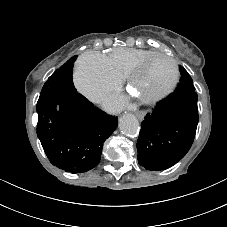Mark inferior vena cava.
<instances>
[{"label":"inferior vena cava","mask_w":227,"mask_h":227,"mask_svg":"<svg viewBox=\"0 0 227 227\" xmlns=\"http://www.w3.org/2000/svg\"><path fill=\"white\" fill-rule=\"evenodd\" d=\"M101 98H102L101 94H95V95H93V97L91 99L94 102H99Z\"/></svg>","instance_id":"1"}]
</instances>
